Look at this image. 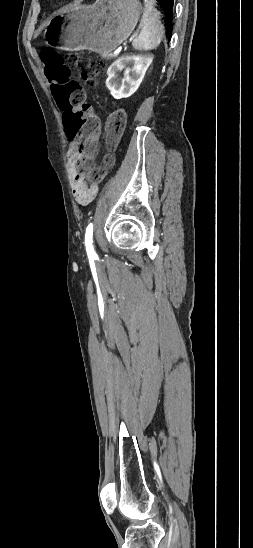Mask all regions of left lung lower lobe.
<instances>
[{
    "label": "left lung lower lobe",
    "instance_id": "1",
    "mask_svg": "<svg viewBox=\"0 0 253 548\" xmlns=\"http://www.w3.org/2000/svg\"><path fill=\"white\" fill-rule=\"evenodd\" d=\"M161 7L163 12L166 15V25L169 28V34L168 38H171L172 35V19H173V8H174V0H157Z\"/></svg>",
    "mask_w": 253,
    "mask_h": 548
}]
</instances>
